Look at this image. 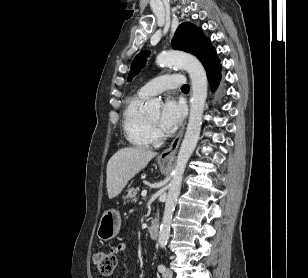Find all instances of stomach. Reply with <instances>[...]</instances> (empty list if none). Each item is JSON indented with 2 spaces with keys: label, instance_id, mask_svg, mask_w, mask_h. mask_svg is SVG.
Instances as JSON below:
<instances>
[{
  "label": "stomach",
  "instance_id": "stomach-1",
  "mask_svg": "<svg viewBox=\"0 0 308 278\" xmlns=\"http://www.w3.org/2000/svg\"><path fill=\"white\" fill-rule=\"evenodd\" d=\"M164 164V163H163ZM121 227V216L116 210H107L103 213L97 229L100 240L107 241L114 238Z\"/></svg>",
  "mask_w": 308,
  "mask_h": 278
}]
</instances>
